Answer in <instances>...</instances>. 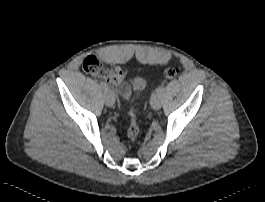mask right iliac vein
I'll list each match as a JSON object with an SVG mask.
<instances>
[{"label":"right iliac vein","instance_id":"right-iliac-vein-1","mask_svg":"<svg viewBox=\"0 0 265 202\" xmlns=\"http://www.w3.org/2000/svg\"><path fill=\"white\" fill-rule=\"evenodd\" d=\"M104 100L107 106H113L115 103L114 93L111 90H107L104 94Z\"/></svg>","mask_w":265,"mask_h":202}]
</instances>
